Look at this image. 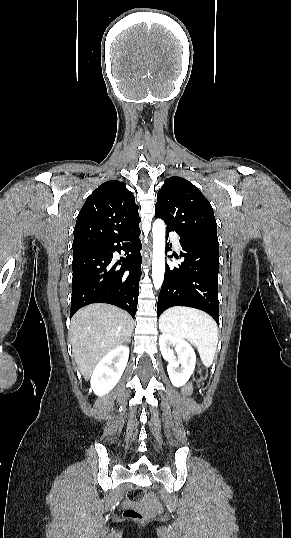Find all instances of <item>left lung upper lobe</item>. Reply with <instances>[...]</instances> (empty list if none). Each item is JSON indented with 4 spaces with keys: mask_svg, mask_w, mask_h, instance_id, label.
<instances>
[{
    "mask_svg": "<svg viewBox=\"0 0 291 538\" xmlns=\"http://www.w3.org/2000/svg\"><path fill=\"white\" fill-rule=\"evenodd\" d=\"M157 199L155 217L164 220L167 230L177 232L182 238L218 243L212 206L191 182L170 177L158 191Z\"/></svg>",
    "mask_w": 291,
    "mask_h": 538,
    "instance_id": "1",
    "label": "left lung upper lobe"
}]
</instances>
